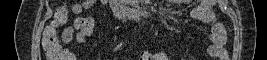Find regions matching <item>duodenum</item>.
<instances>
[{
  "label": "duodenum",
  "mask_w": 267,
  "mask_h": 60,
  "mask_svg": "<svg viewBox=\"0 0 267 60\" xmlns=\"http://www.w3.org/2000/svg\"><path fill=\"white\" fill-rule=\"evenodd\" d=\"M113 12L116 18L123 19L128 18L132 20H139L148 16L149 12L145 9H134L125 6L122 1H111Z\"/></svg>",
  "instance_id": "1"
}]
</instances>
